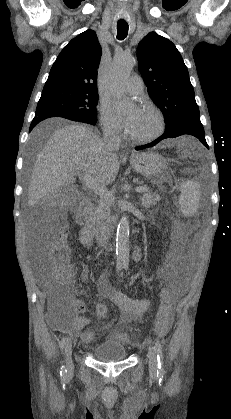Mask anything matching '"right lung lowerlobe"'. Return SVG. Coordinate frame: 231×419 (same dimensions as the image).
Instances as JSON below:
<instances>
[{
    "instance_id": "right-lung-lower-lobe-1",
    "label": "right lung lower lobe",
    "mask_w": 231,
    "mask_h": 419,
    "mask_svg": "<svg viewBox=\"0 0 231 419\" xmlns=\"http://www.w3.org/2000/svg\"><path fill=\"white\" fill-rule=\"evenodd\" d=\"M44 120L43 117H36L33 119L29 131H31L40 121Z\"/></svg>"
}]
</instances>
